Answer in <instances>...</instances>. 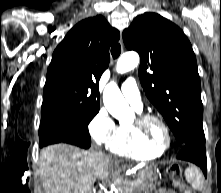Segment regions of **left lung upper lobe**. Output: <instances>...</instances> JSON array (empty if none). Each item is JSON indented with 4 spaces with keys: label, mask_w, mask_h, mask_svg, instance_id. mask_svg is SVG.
Masks as SVG:
<instances>
[{
    "label": "left lung upper lobe",
    "mask_w": 221,
    "mask_h": 193,
    "mask_svg": "<svg viewBox=\"0 0 221 193\" xmlns=\"http://www.w3.org/2000/svg\"><path fill=\"white\" fill-rule=\"evenodd\" d=\"M141 58L139 78L154 106L183 145L205 138L196 57L184 32L156 13L137 16L123 31Z\"/></svg>",
    "instance_id": "5c2ea615"
}]
</instances>
